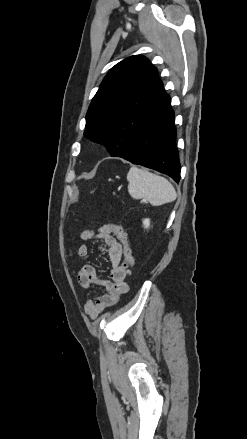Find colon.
<instances>
[{
	"label": "colon",
	"instance_id": "5ec220e1",
	"mask_svg": "<svg viewBox=\"0 0 247 439\" xmlns=\"http://www.w3.org/2000/svg\"><path fill=\"white\" fill-rule=\"evenodd\" d=\"M104 226L112 231L121 242L124 256L123 265L126 268L127 272L130 273V271L134 267V255L131 245L129 243L127 232L120 225L114 223H106Z\"/></svg>",
	"mask_w": 247,
	"mask_h": 439
}]
</instances>
